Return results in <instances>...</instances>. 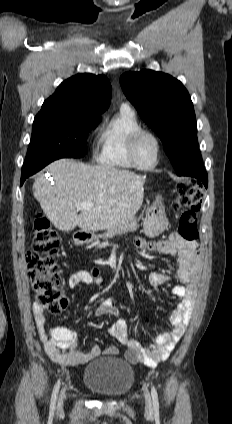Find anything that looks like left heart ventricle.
I'll list each match as a JSON object with an SVG mask.
<instances>
[{
    "instance_id": "left-heart-ventricle-1",
    "label": "left heart ventricle",
    "mask_w": 232,
    "mask_h": 424,
    "mask_svg": "<svg viewBox=\"0 0 232 424\" xmlns=\"http://www.w3.org/2000/svg\"><path fill=\"white\" fill-rule=\"evenodd\" d=\"M156 143L148 135L142 136L135 147V156L139 164L143 166L151 165L156 158Z\"/></svg>"
}]
</instances>
